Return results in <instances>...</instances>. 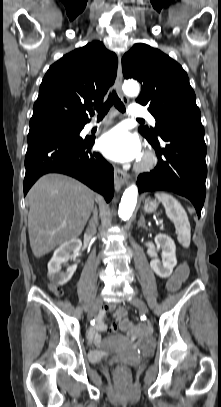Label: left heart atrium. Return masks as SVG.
<instances>
[{
  "instance_id": "obj_1",
  "label": "left heart atrium",
  "mask_w": 221,
  "mask_h": 407,
  "mask_svg": "<svg viewBox=\"0 0 221 407\" xmlns=\"http://www.w3.org/2000/svg\"><path fill=\"white\" fill-rule=\"evenodd\" d=\"M97 147L105 157L117 162L132 161L139 156L141 150L137 136L124 126H117L104 133Z\"/></svg>"
}]
</instances>
